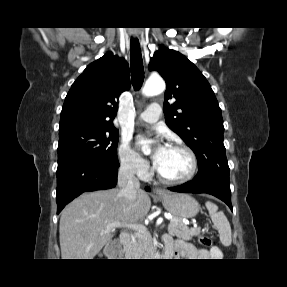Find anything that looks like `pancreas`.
Masks as SVG:
<instances>
[{
	"label": "pancreas",
	"instance_id": "obj_1",
	"mask_svg": "<svg viewBox=\"0 0 287 287\" xmlns=\"http://www.w3.org/2000/svg\"><path fill=\"white\" fill-rule=\"evenodd\" d=\"M169 234L183 240H191L200 234L199 228H189L181 218L174 217L168 225ZM127 256L140 258L147 256L152 249L151 237L147 232H137L133 235L132 241L128 245Z\"/></svg>",
	"mask_w": 287,
	"mask_h": 287
}]
</instances>
